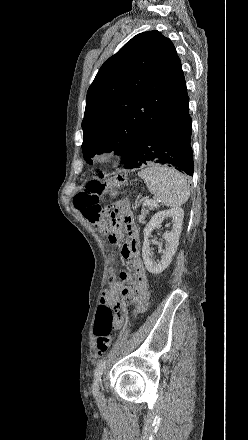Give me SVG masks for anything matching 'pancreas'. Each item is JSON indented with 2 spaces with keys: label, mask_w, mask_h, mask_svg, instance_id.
I'll return each instance as SVG.
<instances>
[{
  "label": "pancreas",
  "mask_w": 248,
  "mask_h": 440,
  "mask_svg": "<svg viewBox=\"0 0 248 440\" xmlns=\"http://www.w3.org/2000/svg\"><path fill=\"white\" fill-rule=\"evenodd\" d=\"M156 206L154 205H144L141 210V215L138 217V222L143 224L145 222L146 215L148 214L149 210H154Z\"/></svg>",
  "instance_id": "obj_1"
}]
</instances>
